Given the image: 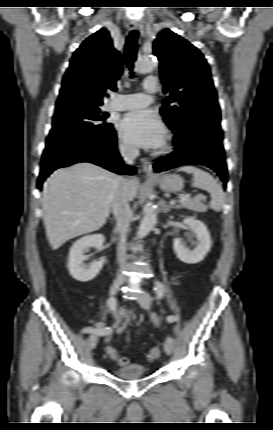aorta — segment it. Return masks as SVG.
I'll return each mask as SVG.
<instances>
[{
    "instance_id": "aorta-1",
    "label": "aorta",
    "mask_w": 273,
    "mask_h": 430,
    "mask_svg": "<svg viewBox=\"0 0 273 430\" xmlns=\"http://www.w3.org/2000/svg\"><path fill=\"white\" fill-rule=\"evenodd\" d=\"M156 65V60L152 56H142L137 62L136 71L141 74H148L155 69ZM156 222L155 206L152 202H148L145 206L144 217L137 231V238L142 239L148 235L153 230Z\"/></svg>"
}]
</instances>
